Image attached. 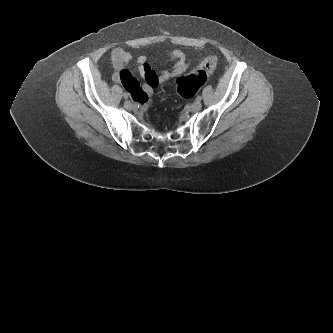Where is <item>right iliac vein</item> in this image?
Here are the masks:
<instances>
[{"mask_svg": "<svg viewBox=\"0 0 333 333\" xmlns=\"http://www.w3.org/2000/svg\"><path fill=\"white\" fill-rule=\"evenodd\" d=\"M124 106H125V108L128 109V110H133V109H134V105H133L130 101H128V100H126V101L124 102Z\"/></svg>", "mask_w": 333, "mask_h": 333, "instance_id": "obj_1", "label": "right iliac vein"}]
</instances>
